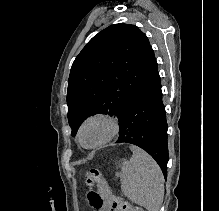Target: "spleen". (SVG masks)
<instances>
[{
	"label": "spleen",
	"instance_id": "1",
	"mask_svg": "<svg viewBox=\"0 0 219 211\" xmlns=\"http://www.w3.org/2000/svg\"><path fill=\"white\" fill-rule=\"evenodd\" d=\"M130 159H123L121 189L131 201L148 211H159L164 197V177L155 159L137 145H130Z\"/></svg>",
	"mask_w": 219,
	"mask_h": 211
}]
</instances>
